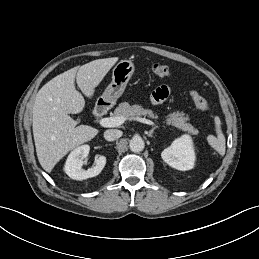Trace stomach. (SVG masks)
Instances as JSON below:
<instances>
[{
  "instance_id": "0dacf381",
  "label": "stomach",
  "mask_w": 259,
  "mask_h": 259,
  "mask_svg": "<svg viewBox=\"0 0 259 259\" xmlns=\"http://www.w3.org/2000/svg\"><path fill=\"white\" fill-rule=\"evenodd\" d=\"M135 67L131 60H121L116 64L112 73V81L107 86L102 96L97 99L98 106H113L117 99L123 94Z\"/></svg>"
}]
</instances>
